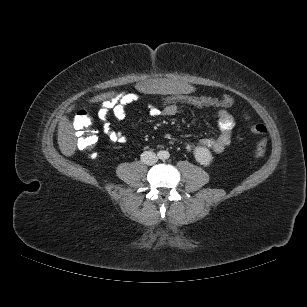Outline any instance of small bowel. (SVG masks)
I'll list each match as a JSON object with an SVG mask.
<instances>
[{
    "instance_id": "1",
    "label": "small bowel",
    "mask_w": 307,
    "mask_h": 307,
    "mask_svg": "<svg viewBox=\"0 0 307 307\" xmlns=\"http://www.w3.org/2000/svg\"><path fill=\"white\" fill-rule=\"evenodd\" d=\"M140 99L141 97L138 93L130 92L118 94L102 102L98 111V118L101 121L103 133L112 142L123 144L127 141V138L121 131L115 130L112 127L110 122L111 116L118 120H123L126 117L128 107L131 104L138 102ZM147 107L149 114L154 118L172 117L182 111V105H168L160 108L148 104ZM217 126L220 132L219 135L202 140L201 146L219 154L230 144L232 132L235 126L234 117L224 108H221L218 111ZM186 147L189 150L192 149V145L190 144H187Z\"/></svg>"
}]
</instances>
